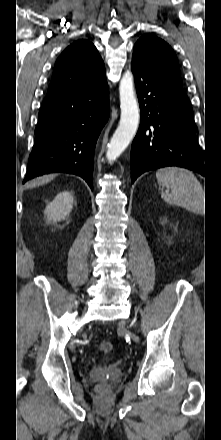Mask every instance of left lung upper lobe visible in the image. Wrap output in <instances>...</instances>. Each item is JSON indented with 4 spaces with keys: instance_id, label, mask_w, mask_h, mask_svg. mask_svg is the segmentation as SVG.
<instances>
[{
    "instance_id": "1",
    "label": "left lung upper lobe",
    "mask_w": 221,
    "mask_h": 440,
    "mask_svg": "<svg viewBox=\"0 0 221 440\" xmlns=\"http://www.w3.org/2000/svg\"><path fill=\"white\" fill-rule=\"evenodd\" d=\"M133 56L156 75L182 86L177 56L162 39L151 34L143 35L134 46Z\"/></svg>"
}]
</instances>
